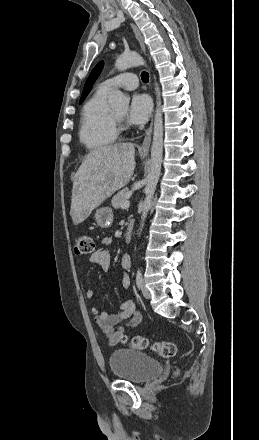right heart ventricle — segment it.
<instances>
[{"mask_svg": "<svg viewBox=\"0 0 259 440\" xmlns=\"http://www.w3.org/2000/svg\"><path fill=\"white\" fill-rule=\"evenodd\" d=\"M108 92L98 89L84 104L79 139L89 151H100L114 144L118 137L113 111L107 103Z\"/></svg>", "mask_w": 259, "mask_h": 440, "instance_id": "e07e8e85", "label": "right heart ventricle"}]
</instances>
